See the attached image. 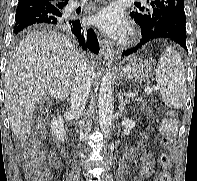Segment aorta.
Masks as SVG:
<instances>
[{"instance_id":"obj_1","label":"aorta","mask_w":197,"mask_h":181,"mask_svg":"<svg viewBox=\"0 0 197 181\" xmlns=\"http://www.w3.org/2000/svg\"><path fill=\"white\" fill-rule=\"evenodd\" d=\"M98 114L101 131L107 135L113 115V79L110 69L101 80L98 93Z\"/></svg>"}]
</instances>
